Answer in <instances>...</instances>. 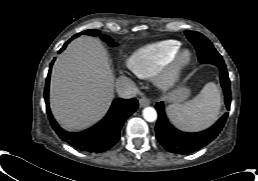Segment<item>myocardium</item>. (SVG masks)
<instances>
[{
  "label": "myocardium",
  "mask_w": 258,
  "mask_h": 181,
  "mask_svg": "<svg viewBox=\"0 0 258 181\" xmlns=\"http://www.w3.org/2000/svg\"><path fill=\"white\" fill-rule=\"evenodd\" d=\"M192 61V55L188 50L178 51L170 66L165 69L158 77V85L168 90L172 88L178 81L181 70L188 66Z\"/></svg>",
  "instance_id": "f54148a6"
}]
</instances>
